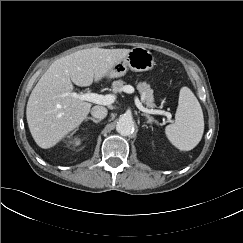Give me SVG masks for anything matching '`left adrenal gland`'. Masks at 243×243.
Returning a JSON list of instances; mask_svg holds the SVG:
<instances>
[{"label":"left adrenal gland","mask_w":243,"mask_h":243,"mask_svg":"<svg viewBox=\"0 0 243 243\" xmlns=\"http://www.w3.org/2000/svg\"><path fill=\"white\" fill-rule=\"evenodd\" d=\"M142 116H145L148 120H147V123H149V124H151L152 122H155V123H157V121L152 117V116H150V115H148V114H145V113H142L141 114Z\"/></svg>","instance_id":"obj_1"}]
</instances>
